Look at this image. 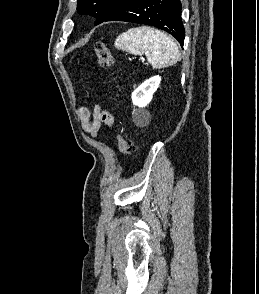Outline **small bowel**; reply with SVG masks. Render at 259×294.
I'll return each instance as SVG.
<instances>
[{
	"mask_svg": "<svg viewBox=\"0 0 259 294\" xmlns=\"http://www.w3.org/2000/svg\"><path fill=\"white\" fill-rule=\"evenodd\" d=\"M76 113L81 122L82 129L92 138L98 135L103 124L109 127L114 126V117L112 114L101 108L98 104H95L92 110L86 106H79L77 107Z\"/></svg>",
	"mask_w": 259,
	"mask_h": 294,
	"instance_id": "small-bowel-1",
	"label": "small bowel"
}]
</instances>
